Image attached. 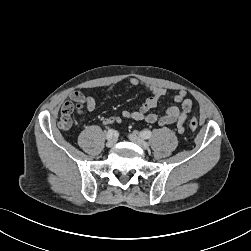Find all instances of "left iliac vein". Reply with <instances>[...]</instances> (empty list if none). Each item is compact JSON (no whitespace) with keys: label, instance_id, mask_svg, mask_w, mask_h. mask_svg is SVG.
I'll return each mask as SVG.
<instances>
[{"label":"left iliac vein","instance_id":"left-iliac-vein-1","mask_svg":"<svg viewBox=\"0 0 251 251\" xmlns=\"http://www.w3.org/2000/svg\"><path fill=\"white\" fill-rule=\"evenodd\" d=\"M129 139L137 144L138 146H140L142 149H148L149 148V145L148 143L143 140L142 138H140L138 135H136L135 133H132V134H129Z\"/></svg>","mask_w":251,"mask_h":251}]
</instances>
